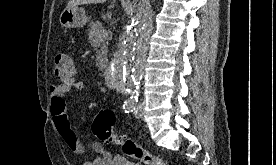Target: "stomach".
<instances>
[{"mask_svg": "<svg viewBox=\"0 0 276 165\" xmlns=\"http://www.w3.org/2000/svg\"><path fill=\"white\" fill-rule=\"evenodd\" d=\"M62 27L81 28L88 22V17L83 8L64 9L59 17Z\"/></svg>", "mask_w": 276, "mask_h": 165, "instance_id": "stomach-1", "label": "stomach"}]
</instances>
